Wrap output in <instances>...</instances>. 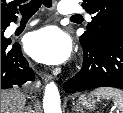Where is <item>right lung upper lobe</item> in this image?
<instances>
[{
    "label": "right lung upper lobe",
    "mask_w": 123,
    "mask_h": 113,
    "mask_svg": "<svg viewBox=\"0 0 123 113\" xmlns=\"http://www.w3.org/2000/svg\"><path fill=\"white\" fill-rule=\"evenodd\" d=\"M24 0H1V21L16 20L15 14L17 13L16 7L23 3Z\"/></svg>",
    "instance_id": "1"
}]
</instances>
